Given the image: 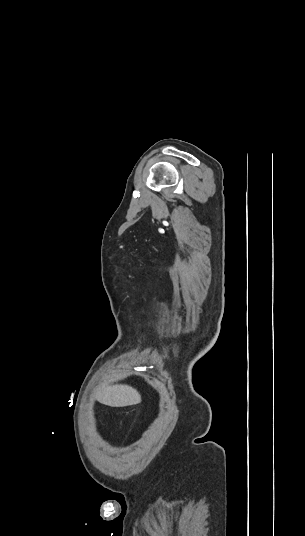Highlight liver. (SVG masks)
<instances>
[{"mask_svg": "<svg viewBox=\"0 0 305 536\" xmlns=\"http://www.w3.org/2000/svg\"><path fill=\"white\" fill-rule=\"evenodd\" d=\"M96 400L100 404L105 406H112V408H124V406H134V404H140L141 396L137 390L131 388V386H123V384H116V386H107L104 384L102 388H99L95 396Z\"/></svg>", "mask_w": 305, "mask_h": 536, "instance_id": "6515ba94", "label": "liver"}]
</instances>
